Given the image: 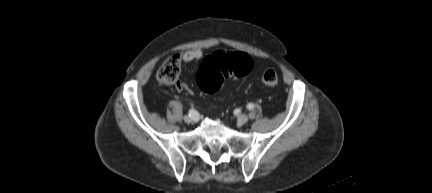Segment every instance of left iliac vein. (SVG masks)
Here are the masks:
<instances>
[{
    "instance_id": "1",
    "label": "left iliac vein",
    "mask_w": 432,
    "mask_h": 193,
    "mask_svg": "<svg viewBox=\"0 0 432 193\" xmlns=\"http://www.w3.org/2000/svg\"><path fill=\"white\" fill-rule=\"evenodd\" d=\"M248 120H249V117L246 114H240L237 117V121L239 124H245L248 122Z\"/></svg>"
}]
</instances>
